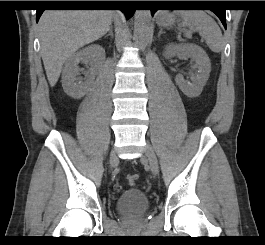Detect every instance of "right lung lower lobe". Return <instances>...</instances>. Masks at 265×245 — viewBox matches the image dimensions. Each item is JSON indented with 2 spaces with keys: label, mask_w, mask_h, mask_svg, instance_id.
<instances>
[{
  "label": "right lung lower lobe",
  "mask_w": 265,
  "mask_h": 245,
  "mask_svg": "<svg viewBox=\"0 0 265 245\" xmlns=\"http://www.w3.org/2000/svg\"><path fill=\"white\" fill-rule=\"evenodd\" d=\"M54 6H71L67 3H54ZM80 7H95V6H103V7H118L119 10L123 11L127 18L132 17L134 13L133 6L128 1H84L80 3ZM44 9H38L36 14V21L38 22L41 14Z\"/></svg>",
  "instance_id": "98d812e1"
}]
</instances>
